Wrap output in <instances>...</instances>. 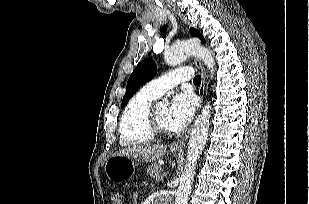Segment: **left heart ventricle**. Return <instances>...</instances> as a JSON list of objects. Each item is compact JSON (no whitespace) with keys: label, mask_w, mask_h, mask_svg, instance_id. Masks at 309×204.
<instances>
[{"label":"left heart ventricle","mask_w":309,"mask_h":204,"mask_svg":"<svg viewBox=\"0 0 309 204\" xmlns=\"http://www.w3.org/2000/svg\"><path fill=\"white\" fill-rule=\"evenodd\" d=\"M155 110H156V115H157L159 123L163 127L170 129V126L168 123V113H169L168 106L160 105V106H157Z\"/></svg>","instance_id":"1"}]
</instances>
